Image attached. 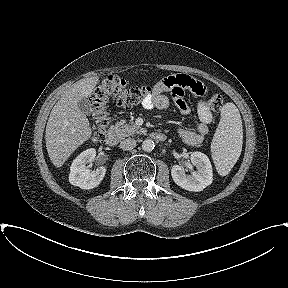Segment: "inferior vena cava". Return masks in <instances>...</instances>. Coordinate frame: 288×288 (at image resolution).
Listing matches in <instances>:
<instances>
[{
	"label": "inferior vena cava",
	"mask_w": 288,
	"mask_h": 288,
	"mask_svg": "<svg viewBox=\"0 0 288 288\" xmlns=\"http://www.w3.org/2000/svg\"><path fill=\"white\" fill-rule=\"evenodd\" d=\"M136 146V140L133 138H126L120 142V148L123 150H132Z\"/></svg>",
	"instance_id": "obj_1"
}]
</instances>
